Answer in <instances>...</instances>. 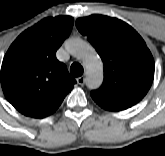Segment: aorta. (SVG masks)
<instances>
[{
    "instance_id": "1",
    "label": "aorta",
    "mask_w": 165,
    "mask_h": 156,
    "mask_svg": "<svg viewBox=\"0 0 165 156\" xmlns=\"http://www.w3.org/2000/svg\"><path fill=\"white\" fill-rule=\"evenodd\" d=\"M65 48L69 54L82 61L86 68V84L90 89L98 88L103 81V64L92 46L79 38L69 39Z\"/></svg>"
}]
</instances>
